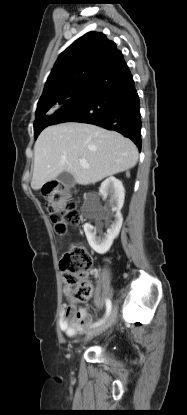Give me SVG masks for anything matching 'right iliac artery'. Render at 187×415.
Segmentation results:
<instances>
[{
    "instance_id": "1",
    "label": "right iliac artery",
    "mask_w": 187,
    "mask_h": 415,
    "mask_svg": "<svg viewBox=\"0 0 187 415\" xmlns=\"http://www.w3.org/2000/svg\"><path fill=\"white\" fill-rule=\"evenodd\" d=\"M111 308H112V304L111 301L109 299L106 300V314L105 317L100 320L99 322L95 323L94 326H98L101 323H103L105 321V319L109 316L110 312H111Z\"/></svg>"
}]
</instances>
